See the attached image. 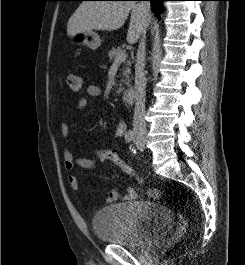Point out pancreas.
<instances>
[{
	"label": "pancreas",
	"instance_id": "pancreas-1",
	"mask_svg": "<svg viewBox=\"0 0 245 265\" xmlns=\"http://www.w3.org/2000/svg\"><path fill=\"white\" fill-rule=\"evenodd\" d=\"M123 52H125V50H123L122 48H120V47H118V48H112L110 51H109V53H108V57H109V59H110V61H115V59H116V57L119 55V54H121V53H123ZM123 63H125V60L124 61H122ZM127 66L128 67H126V69L123 71V77H124V79H122L121 80V83H120V87H119V90H118V93H120L124 88L122 87V84H129V75H130V73H131V71H130V68H129V66H130V61H128L127 62Z\"/></svg>",
	"mask_w": 245,
	"mask_h": 265
}]
</instances>
